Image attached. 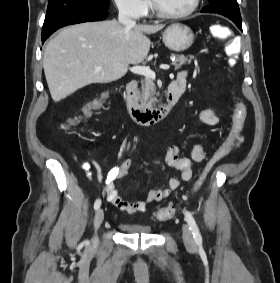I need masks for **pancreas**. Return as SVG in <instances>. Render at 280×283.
I'll return each mask as SVG.
<instances>
[{
  "label": "pancreas",
  "instance_id": "cf45deb5",
  "mask_svg": "<svg viewBox=\"0 0 280 283\" xmlns=\"http://www.w3.org/2000/svg\"><path fill=\"white\" fill-rule=\"evenodd\" d=\"M175 57V62L173 65L175 69H179L185 64H190L194 59L193 55L184 56L179 54H171ZM158 92L156 91L155 83L152 79L145 78L141 81V104L146 108H151L158 100L156 96Z\"/></svg>",
  "mask_w": 280,
  "mask_h": 283
}]
</instances>
